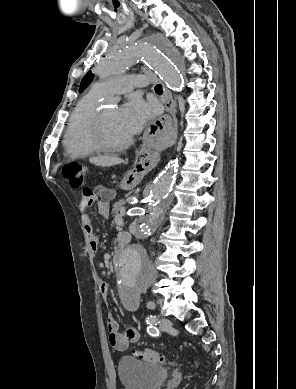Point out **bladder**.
<instances>
[{
  "label": "bladder",
  "mask_w": 296,
  "mask_h": 389,
  "mask_svg": "<svg viewBox=\"0 0 296 389\" xmlns=\"http://www.w3.org/2000/svg\"><path fill=\"white\" fill-rule=\"evenodd\" d=\"M165 367L124 356L118 363V376L124 389H158L168 378Z\"/></svg>",
  "instance_id": "obj_1"
}]
</instances>
